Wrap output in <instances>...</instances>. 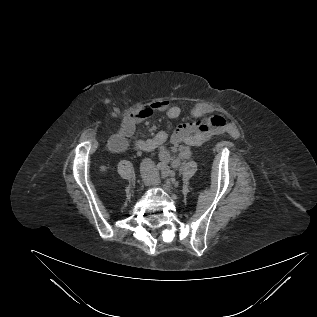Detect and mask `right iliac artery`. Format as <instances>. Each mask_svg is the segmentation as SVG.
I'll use <instances>...</instances> for the list:
<instances>
[{
	"label": "right iliac artery",
	"instance_id": "82829eb1",
	"mask_svg": "<svg viewBox=\"0 0 317 317\" xmlns=\"http://www.w3.org/2000/svg\"><path fill=\"white\" fill-rule=\"evenodd\" d=\"M166 168V164L164 162H160L157 164L158 170H164Z\"/></svg>",
	"mask_w": 317,
	"mask_h": 317
}]
</instances>
